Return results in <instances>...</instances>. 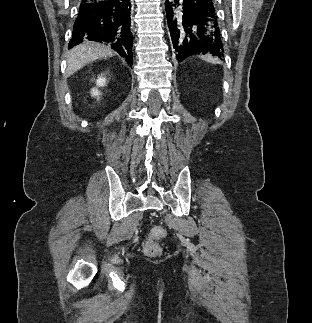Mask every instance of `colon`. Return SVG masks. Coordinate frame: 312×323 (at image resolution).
Here are the masks:
<instances>
[{
    "mask_svg": "<svg viewBox=\"0 0 312 323\" xmlns=\"http://www.w3.org/2000/svg\"><path fill=\"white\" fill-rule=\"evenodd\" d=\"M165 232L161 228H154L144 243V252L149 256H157L160 248L156 242V238L164 236Z\"/></svg>",
    "mask_w": 312,
    "mask_h": 323,
    "instance_id": "1",
    "label": "colon"
}]
</instances>
